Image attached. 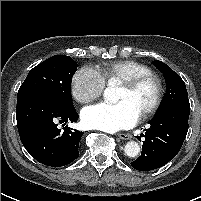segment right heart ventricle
<instances>
[{
	"mask_svg": "<svg viewBox=\"0 0 201 201\" xmlns=\"http://www.w3.org/2000/svg\"><path fill=\"white\" fill-rule=\"evenodd\" d=\"M151 72L146 65L134 60H118L105 63L100 68L103 79L109 83L123 82L137 75Z\"/></svg>",
	"mask_w": 201,
	"mask_h": 201,
	"instance_id": "e07e8e85",
	"label": "right heart ventricle"
}]
</instances>
